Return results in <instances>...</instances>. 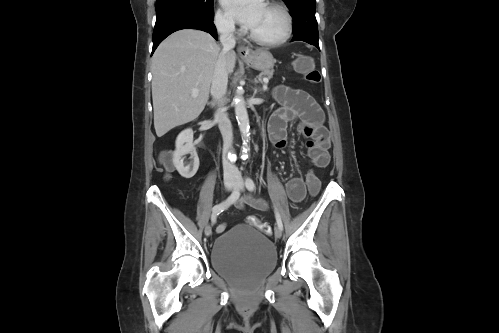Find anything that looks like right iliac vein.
Returning a JSON list of instances; mask_svg holds the SVG:
<instances>
[{
	"mask_svg": "<svg viewBox=\"0 0 499 333\" xmlns=\"http://www.w3.org/2000/svg\"><path fill=\"white\" fill-rule=\"evenodd\" d=\"M234 184H235V181H234V179L232 177H226L224 179V186H225V189L227 191H230L233 188ZM211 233H212L211 226L207 225L205 227V235L208 237V236L211 235Z\"/></svg>",
	"mask_w": 499,
	"mask_h": 333,
	"instance_id": "1",
	"label": "right iliac vein"
}]
</instances>
